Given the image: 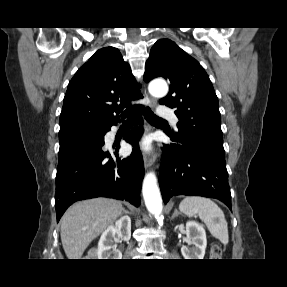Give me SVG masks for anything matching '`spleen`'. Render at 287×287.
<instances>
[{"instance_id":"obj_1","label":"spleen","mask_w":287,"mask_h":287,"mask_svg":"<svg viewBox=\"0 0 287 287\" xmlns=\"http://www.w3.org/2000/svg\"><path fill=\"white\" fill-rule=\"evenodd\" d=\"M179 209L188 216L198 215L213 237L224 245L228 244V225L224 213L211 199L188 196L181 201Z\"/></svg>"}]
</instances>
